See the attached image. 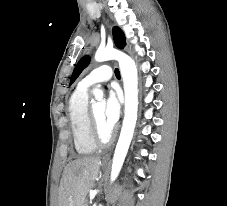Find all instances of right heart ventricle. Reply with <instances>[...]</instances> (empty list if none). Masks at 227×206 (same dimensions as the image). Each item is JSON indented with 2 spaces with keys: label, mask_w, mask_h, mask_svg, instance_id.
Listing matches in <instances>:
<instances>
[{
  "label": "right heart ventricle",
  "mask_w": 227,
  "mask_h": 206,
  "mask_svg": "<svg viewBox=\"0 0 227 206\" xmlns=\"http://www.w3.org/2000/svg\"><path fill=\"white\" fill-rule=\"evenodd\" d=\"M68 119L75 150L80 155L93 153L97 145L91 138L89 129L88 92L78 86L68 102Z\"/></svg>",
  "instance_id": "obj_1"
}]
</instances>
